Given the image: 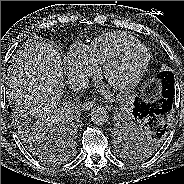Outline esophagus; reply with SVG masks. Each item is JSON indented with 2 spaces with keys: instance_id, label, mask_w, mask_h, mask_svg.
Returning a JSON list of instances; mask_svg holds the SVG:
<instances>
[{
  "instance_id": "34e87169",
  "label": "esophagus",
  "mask_w": 184,
  "mask_h": 184,
  "mask_svg": "<svg viewBox=\"0 0 184 184\" xmlns=\"http://www.w3.org/2000/svg\"><path fill=\"white\" fill-rule=\"evenodd\" d=\"M96 103L93 102V101H88V102H85L82 106L83 110H89L91 109L93 106H95Z\"/></svg>"
}]
</instances>
